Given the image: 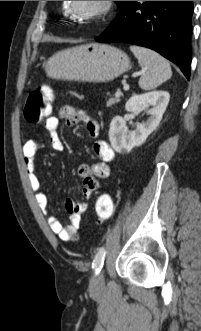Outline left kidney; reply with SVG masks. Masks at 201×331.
I'll return each instance as SVG.
<instances>
[{"label":"left kidney","mask_w":201,"mask_h":331,"mask_svg":"<svg viewBox=\"0 0 201 331\" xmlns=\"http://www.w3.org/2000/svg\"><path fill=\"white\" fill-rule=\"evenodd\" d=\"M170 95L166 91H152L145 94H134L125 105V110L138 114L147 107L150 117L139 123L134 131H129L126 120L120 116L110 123L109 140L113 149L122 154L129 153L134 147L142 145L147 137L157 128L169 103Z\"/></svg>","instance_id":"5707ae66"}]
</instances>
